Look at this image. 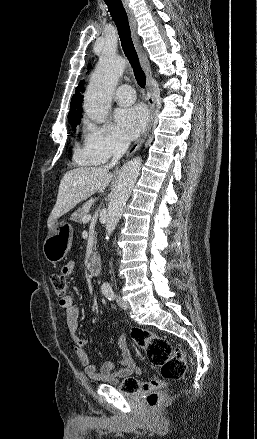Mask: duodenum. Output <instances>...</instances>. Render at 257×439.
<instances>
[{"label":"duodenum","instance_id":"410a0bca","mask_svg":"<svg viewBox=\"0 0 257 439\" xmlns=\"http://www.w3.org/2000/svg\"><path fill=\"white\" fill-rule=\"evenodd\" d=\"M102 267V262L99 254L97 252H93L90 260H89V272L92 275L99 274Z\"/></svg>","mask_w":257,"mask_h":439}]
</instances>
